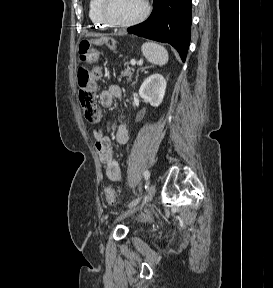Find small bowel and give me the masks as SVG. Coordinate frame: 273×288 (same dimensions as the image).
I'll list each match as a JSON object with an SVG mask.
<instances>
[{"label": "small bowel", "mask_w": 273, "mask_h": 288, "mask_svg": "<svg viewBox=\"0 0 273 288\" xmlns=\"http://www.w3.org/2000/svg\"><path fill=\"white\" fill-rule=\"evenodd\" d=\"M122 90L118 85H110L107 89L100 93L99 101L102 106L110 107L114 98H121ZM112 124L108 121L105 125H98L94 129V137L96 139L95 147L99 154L100 160L104 165L105 173L111 181H121L122 175L119 163L115 156V151L110 144L108 133ZM116 141L119 144H125L129 135L127 129L120 125L115 133Z\"/></svg>", "instance_id": "c3829d8e"}]
</instances>
